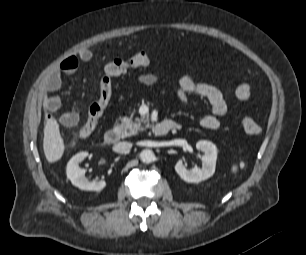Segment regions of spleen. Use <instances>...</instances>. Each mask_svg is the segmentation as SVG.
Returning a JSON list of instances; mask_svg holds the SVG:
<instances>
[{
	"label": "spleen",
	"instance_id": "obj_1",
	"mask_svg": "<svg viewBox=\"0 0 306 255\" xmlns=\"http://www.w3.org/2000/svg\"><path fill=\"white\" fill-rule=\"evenodd\" d=\"M231 170H232L233 173L237 172V166L233 165Z\"/></svg>",
	"mask_w": 306,
	"mask_h": 255
}]
</instances>
